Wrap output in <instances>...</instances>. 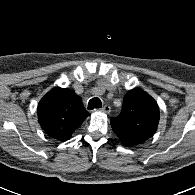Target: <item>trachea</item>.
I'll return each mask as SVG.
<instances>
[{
    "label": "trachea",
    "mask_w": 195,
    "mask_h": 195,
    "mask_svg": "<svg viewBox=\"0 0 195 195\" xmlns=\"http://www.w3.org/2000/svg\"><path fill=\"white\" fill-rule=\"evenodd\" d=\"M102 107V103L101 100L97 97L90 99L89 103H88V109L92 110L95 108H101Z\"/></svg>",
    "instance_id": "1"
}]
</instances>
